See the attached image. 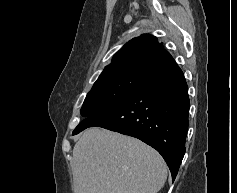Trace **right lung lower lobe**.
<instances>
[{
    "label": "right lung lower lobe",
    "mask_w": 237,
    "mask_h": 193,
    "mask_svg": "<svg viewBox=\"0 0 237 193\" xmlns=\"http://www.w3.org/2000/svg\"><path fill=\"white\" fill-rule=\"evenodd\" d=\"M189 106L183 72L167 52L147 69L125 101L83 120L73 134L97 126L136 137L161 154L174 181L185 153Z\"/></svg>",
    "instance_id": "right-lung-lower-lobe-1"
}]
</instances>
